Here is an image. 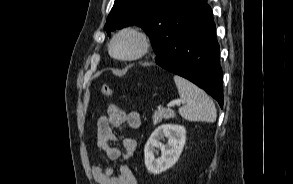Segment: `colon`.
<instances>
[{"label": "colon", "mask_w": 293, "mask_h": 184, "mask_svg": "<svg viewBox=\"0 0 293 184\" xmlns=\"http://www.w3.org/2000/svg\"><path fill=\"white\" fill-rule=\"evenodd\" d=\"M101 93L106 97H112L114 95L113 89L106 84L101 86Z\"/></svg>", "instance_id": "5ec220e1"}]
</instances>
